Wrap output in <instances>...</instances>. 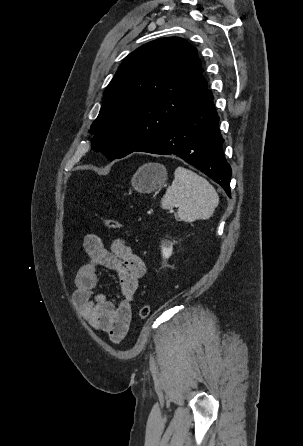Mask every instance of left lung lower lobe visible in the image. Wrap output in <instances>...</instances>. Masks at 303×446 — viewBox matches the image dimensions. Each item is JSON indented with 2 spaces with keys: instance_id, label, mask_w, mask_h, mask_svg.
<instances>
[{
  "instance_id": "0a47b994",
  "label": "left lung lower lobe",
  "mask_w": 303,
  "mask_h": 446,
  "mask_svg": "<svg viewBox=\"0 0 303 446\" xmlns=\"http://www.w3.org/2000/svg\"><path fill=\"white\" fill-rule=\"evenodd\" d=\"M218 119L207 88L166 134L136 151L177 155L221 185L230 197L231 167L224 157Z\"/></svg>"
}]
</instances>
